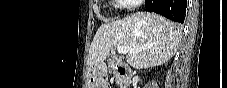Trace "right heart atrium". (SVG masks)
I'll use <instances>...</instances> for the list:
<instances>
[{"mask_svg": "<svg viewBox=\"0 0 227 88\" xmlns=\"http://www.w3.org/2000/svg\"><path fill=\"white\" fill-rule=\"evenodd\" d=\"M127 10H135L139 8L145 1L144 0H119Z\"/></svg>", "mask_w": 227, "mask_h": 88, "instance_id": "obj_1", "label": "right heart atrium"}]
</instances>
